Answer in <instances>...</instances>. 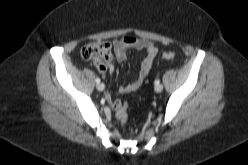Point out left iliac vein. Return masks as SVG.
<instances>
[{"mask_svg":"<svg viewBox=\"0 0 248 165\" xmlns=\"http://www.w3.org/2000/svg\"><path fill=\"white\" fill-rule=\"evenodd\" d=\"M155 91L157 93H160L162 90H163V85L162 84H156L155 87H154Z\"/></svg>","mask_w":248,"mask_h":165,"instance_id":"1","label":"left iliac vein"}]
</instances>
